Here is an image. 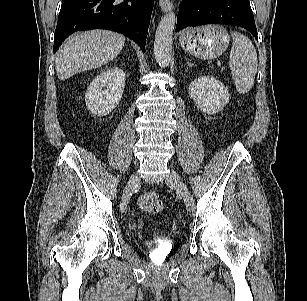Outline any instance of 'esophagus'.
<instances>
[{"label":"esophagus","mask_w":307,"mask_h":301,"mask_svg":"<svg viewBox=\"0 0 307 301\" xmlns=\"http://www.w3.org/2000/svg\"><path fill=\"white\" fill-rule=\"evenodd\" d=\"M159 5L163 12H168L173 7L172 2H170V0H159Z\"/></svg>","instance_id":"esophagus-1"}]
</instances>
